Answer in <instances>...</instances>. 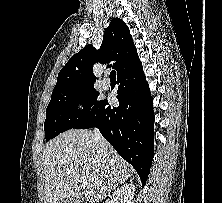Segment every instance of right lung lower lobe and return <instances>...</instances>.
Instances as JSON below:
<instances>
[{
	"mask_svg": "<svg viewBox=\"0 0 222 203\" xmlns=\"http://www.w3.org/2000/svg\"><path fill=\"white\" fill-rule=\"evenodd\" d=\"M119 106L107 99L74 128L97 127L120 156L146 183L154 155L153 99L145 80L142 64L117 75Z\"/></svg>",
	"mask_w": 222,
	"mask_h": 203,
	"instance_id": "obj_1",
	"label": "right lung lower lobe"
}]
</instances>
